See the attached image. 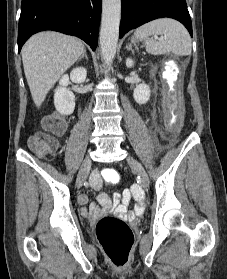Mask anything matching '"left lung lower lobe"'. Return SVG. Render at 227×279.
Here are the masks:
<instances>
[{"instance_id":"left-lung-lower-lobe-1","label":"left lung lower lobe","mask_w":227,"mask_h":279,"mask_svg":"<svg viewBox=\"0 0 227 279\" xmlns=\"http://www.w3.org/2000/svg\"><path fill=\"white\" fill-rule=\"evenodd\" d=\"M119 37L157 18L180 21L192 36V23L185 0H122Z\"/></svg>"}]
</instances>
